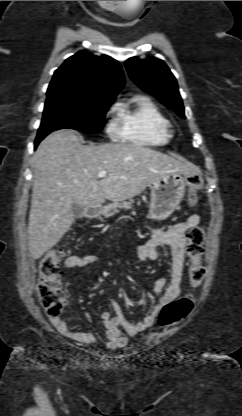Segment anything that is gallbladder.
<instances>
[{
	"mask_svg": "<svg viewBox=\"0 0 242 416\" xmlns=\"http://www.w3.org/2000/svg\"><path fill=\"white\" fill-rule=\"evenodd\" d=\"M72 211L75 218H82L84 216V208L77 203L72 204Z\"/></svg>",
	"mask_w": 242,
	"mask_h": 416,
	"instance_id": "1",
	"label": "gallbladder"
}]
</instances>
